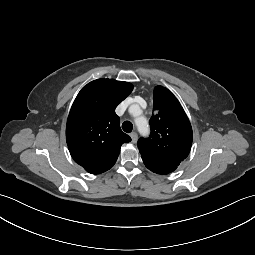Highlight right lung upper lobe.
<instances>
[{
    "label": "right lung upper lobe",
    "mask_w": 255,
    "mask_h": 255,
    "mask_svg": "<svg viewBox=\"0 0 255 255\" xmlns=\"http://www.w3.org/2000/svg\"><path fill=\"white\" fill-rule=\"evenodd\" d=\"M128 82L98 79L78 93L67 119L66 141L74 161L91 174L103 173L115 164L123 143L117 105L132 91Z\"/></svg>",
    "instance_id": "1"
}]
</instances>
